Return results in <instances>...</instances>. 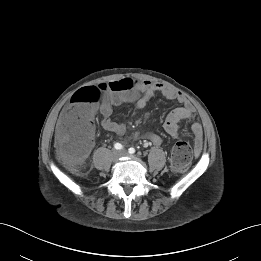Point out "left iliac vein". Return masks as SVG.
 Here are the masks:
<instances>
[{"instance_id": "1", "label": "left iliac vein", "mask_w": 261, "mask_h": 261, "mask_svg": "<svg viewBox=\"0 0 261 261\" xmlns=\"http://www.w3.org/2000/svg\"><path fill=\"white\" fill-rule=\"evenodd\" d=\"M120 154H121L122 156H125V155H127L128 153H127L125 150H123V151L120 152Z\"/></svg>"}]
</instances>
